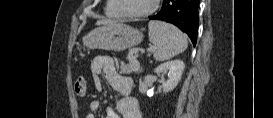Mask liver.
<instances>
[{
  "instance_id": "liver-1",
  "label": "liver",
  "mask_w": 273,
  "mask_h": 118,
  "mask_svg": "<svg viewBox=\"0 0 273 118\" xmlns=\"http://www.w3.org/2000/svg\"><path fill=\"white\" fill-rule=\"evenodd\" d=\"M111 23H113L112 21H110V20H99V21H97V25H107V24H111Z\"/></svg>"
}]
</instances>
